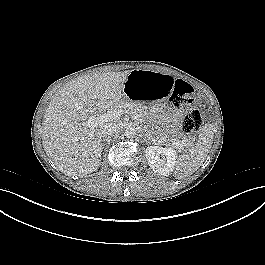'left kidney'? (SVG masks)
I'll return each mask as SVG.
<instances>
[{
	"label": "left kidney",
	"instance_id": "left-kidney-1",
	"mask_svg": "<svg viewBox=\"0 0 265 265\" xmlns=\"http://www.w3.org/2000/svg\"><path fill=\"white\" fill-rule=\"evenodd\" d=\"M145 156L150 168L154 172L162 176H169L172 174L177 158L174 149L170 147L149 146L146 148Z\"/></svg>",
	"mask_w": 265,
	"mask_h": 265
}]
</instances>
